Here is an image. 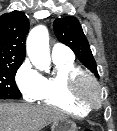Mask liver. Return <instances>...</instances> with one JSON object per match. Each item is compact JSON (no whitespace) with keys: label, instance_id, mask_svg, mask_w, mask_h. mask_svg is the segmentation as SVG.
<instances>
[{"label":"liver","instance_id":"6515ba94","mask_svg":"<svg viewBox=\"0 0 117 131\" xmlns=\"http://www.w3.org/2000/svg\"><path fill=\"white\" fill-rule=\"evenodd\" d=\"M63 118L65 115L52 107L0 102V131H40Z\"/></svg>","mask_w":117,"mask_h":131}]
</instances>
